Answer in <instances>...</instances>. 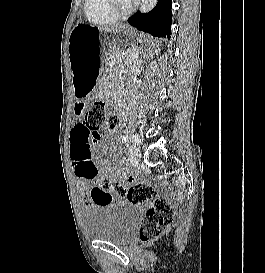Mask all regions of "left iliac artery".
Listing matches in <instances>:
<instances>
[{"instance_id": "obj_1", "label": "left iliac artery", "mask_w": 265, "mask_h": 273, "mask_svg": "<svg viewBox=\"0 0 265 273\" xmlns=\"http://www.w3.org/2000/svg\"><path fill=\"white\" fill-rule=\"evenodd\" d=\"M130 139H131L134 143L139 144V139H138V137H137L136 135H130Z\"/></svg>"}]
</instances>
